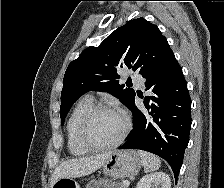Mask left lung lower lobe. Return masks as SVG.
Listing matches in <instances>:
<instances>
[{"label":"left lung lower lobe","mask_w":224,"mask_h":188,"mask_svg":"<svg viewBox=\"0 0 224 188\" xmlns=\"http://www.w3.org/2000/svg\"><path fill=\"white\" fill-rule=\"evenodd\" d=\"M145 78L146 90L154 94L144 101L147 111L131 103L134 127L119 149H141L164 158L177 180L191 129L187 83L174 55Z\"/></svg>","instance_id":"0a47b994"}]
</instances>
